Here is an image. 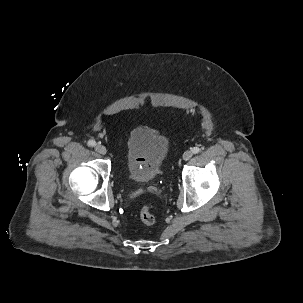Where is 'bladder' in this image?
<instances>
[{"label":"bladder","mask_w":303,"mask_h":303,"mask_svg":"<svg viewBox=\"0 0 303 303\" xmlns=\"http://www.w3.org/2000/svg\"><path fill=\"white\" fill-rule=\"evenodd\" d=\"M169 148L167 136L145 126L132 129L125 145L128 177L140 184L153 181L160 173Z\"/></svg>","instance_id":"31cf9c89"}]
</instances>
